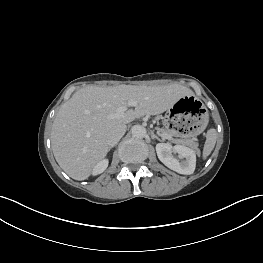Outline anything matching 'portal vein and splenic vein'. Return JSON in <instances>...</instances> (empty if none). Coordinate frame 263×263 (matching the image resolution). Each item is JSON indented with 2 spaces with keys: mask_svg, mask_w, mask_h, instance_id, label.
Returning <instances> with one entry per match:
<instances>
[{
  "mask_svg": "<svg viewBox=\"0 0 263 263\" xmlns=\"http://www.w3.org/2000/svg\"><path fill=\"white\" fill-rule=\"evenodd\" d=\"M128 106H136V102L129 101ZM127 109H128L127 106H120V107H118L114 117H122L125 114ZM159 135H161L163 138H168V136L165 135V134L159 133Z\"/></svg>",
  "mask_w": 263,
  "mask_h": 263,
  "instance_id": "obj_1",
  "label": "portal vein and splenic vein"
}]
</instances>
